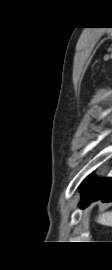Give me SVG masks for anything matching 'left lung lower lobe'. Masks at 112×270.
I'll list each match as a JSON object with an SVG mask.
<instances>
[{"label": "left lung lower lobe", "instance_id": "obj_1", "mask_svg": "<svg viewBox=\"0 0 112 270\" xmlns=\"http://www.w3.org/2000/svg\"><path fill=\"white\" fill-rule=\"evenodd\" d=\"M80 207L85 208L91 202L101 199L102 202H112V178H95L89 175L80 185Z\"/></svg>", "mask_w": 112, "mask_h": 270}]
</instances>
